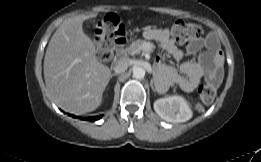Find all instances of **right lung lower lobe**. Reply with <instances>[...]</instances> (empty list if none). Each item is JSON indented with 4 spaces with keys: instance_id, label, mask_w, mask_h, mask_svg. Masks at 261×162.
<instances>
[{
    "instance_id": "obj_1",
    "label": "right lung lower lobe",
    "mask_w": 261,
    "mask_h": 162,
    "mask_svg": "<svg viewBox=\"0 0 261 162\" xmlns=\"http://www.w3.org/2000/svg\"><path fill=\"white\" fill-rule=\"evenodd\" d=\"M73 116V115H71ZM102 117V115L100 116H93V117H87V118H84V120H88V121H95V120H98Z\"/></svg>"
}]
</instances>
